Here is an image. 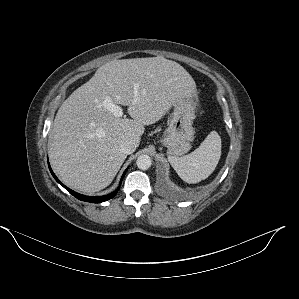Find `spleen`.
Returning a JSON list of instances; mask_svg holds the SVG:
<instances>
[{"instance_id": "1", "label": "spleen", "mask_w": 299, "mask_h": 299, "mask_svg": "<svg viewBox=\"0 0 299 299\" xmlns=\"http://www.w3.org/2000/svg\"><path fill=\"white\" fill-rule=\"evenodd\" d=\"M220 156L221 138L216 131H211L193 152L182 157L169 156L168 160L183 181L194 184L213 173Z\"/></svg>"}]
</instances>
